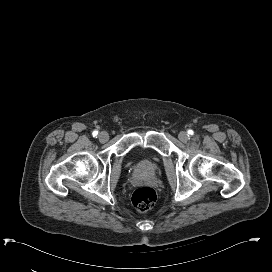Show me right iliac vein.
Wrapping results in <instances>:
<instances>
[{"instance_id":"1","label":"right iliac vein","mask_w":272,"mask_h":272,"mask_svg":"<svg viewBox=\"0 0 272 272\" xmlns=\"http://www.w3.org/2000/svg\"><path fill=\"white\" fill-rule=\"evenodd\" d=\"M98 137L101 142H106L109 138L108 133L105 131H102Z\"/></svg>"}]
</instances>
